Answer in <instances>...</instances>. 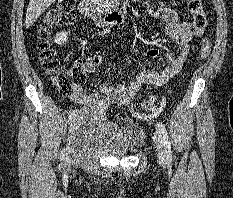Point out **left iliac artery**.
I'll use <instances>...</instances> for the list:
<instances>
[{
	"instance_id": "left-iliac-artery-1",
	"label": "left iliac artery",
	"mask_w": 233,
	"mask_h": 198,
	"mask_svg": "<svg viewBox=\"0 0 233 198\" xmlns=\"http://www.w3.org/2000/svg\"><path fill=\"white\" fill-rule=\"evenodd\" d=\"M156 128L163 135L166 159H167V161L171 162V160H172V151H171V144H170V141H169L167 129L165 128V126L161 122H158L156 124Z\"/></svg>"
}]
</instances>
